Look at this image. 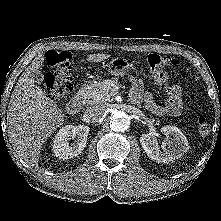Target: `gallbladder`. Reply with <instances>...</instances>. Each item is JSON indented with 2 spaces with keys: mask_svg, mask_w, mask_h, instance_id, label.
Here are the masks:
<instances>
[{
  "mask_svg": "<svg viewBox=\"0 0 221 221\" xmlns=\"http://www.w3.org/2000/svg\"><path fill=\"white\" fill-rule=\"evenodd\" d=\"M33 77L35 82L38 84H41L44 80V75L41 73V71L34 72Z\"/></svg>",
  "mask_w": 221,
  "mask_h": 221,
  "instance_id": "gallbladder-1",
  "label": "gallbladder"
}]
</instances>
